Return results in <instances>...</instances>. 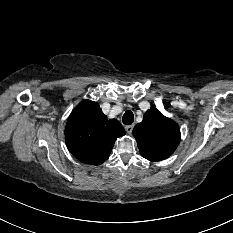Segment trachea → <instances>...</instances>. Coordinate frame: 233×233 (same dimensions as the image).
Wrapping results in <instances>:
<instances>
[{"mask_svg": "<svg viewBox=\"0 0 233 233\" xmlns=\"http://www.w3.org/2000/svg\"><path fill=\"white\" fill-rule=\"evenodd\" d=\"M134 121V114L131 110H127L124 115H123V118H122V122L125 124V125H130L132 124Z\"/></svg>", "mask_w": 233, "mask_h": 233, "instance_id": "1", "label": "trachea"}]
</instances>
